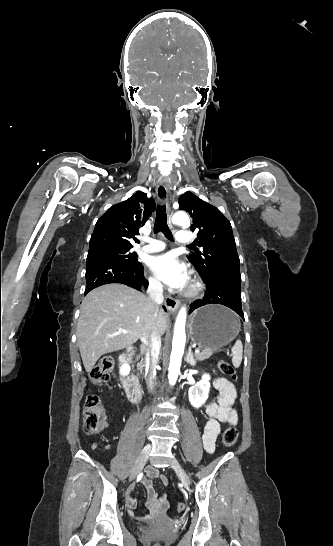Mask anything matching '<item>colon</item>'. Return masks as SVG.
I'll return each instance as SVG.
<instances>
[{
	"label": "colon",
	"mask_w": 333,
	"mask_h": 546,
	"mask_svg": "<svg viewBox=\"0 0 333 546\" xmlns=\"http://www.w3.org/2000/svg\"><path fill=\"white\" fill-rule=\"evenodd\" d=\"M114 369V359L111 356L102 357L90 372V379L95 384L104 383L111 375ZM219 371L232 378L236 379L237 374L235 368L226 360L218 361ZM83 429L88 435H94L101 432L107 424V415L102 405L101 400L94 395L89 396L84 404L83 412ZM238 439V430L234 426L228 427L222 436V443L226 447H230L236 443ZM177 512L181 513L185 510V504L182 502L176 505ZM154 546H160L156 544Z\"/></svg>",
	"instance_id": "colon-1"
}]
</instances>
